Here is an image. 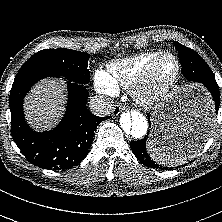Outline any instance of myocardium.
<instances>
[{
    "instance_id": "obj_1",
    "label": "myocardium",
    "mask_w": 222,
    "mask_h": 222,
    "mask_svg": "<svg viewBox=\"0 0 222 222\" xmlns=\"http://www.w3.org/2000/svg\"><path fill=\"white\" fill-rule=\"evenodd\" d=\"M166 57L172 58L176 63L173 76L166 82L156 86L153 83V73L157 64ZM181 74L179 58L170 52H161L144 69L140 77L132 85V94L136 101L142 105H153L163 99L175 86Z\"/></svg>"
}]
</instances>
